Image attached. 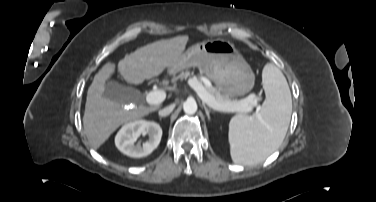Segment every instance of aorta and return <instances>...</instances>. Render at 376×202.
<instances>
[{
	"label": "aorta",
	"mask_w": 376,
	"mask_h": 202,
	"mask_svg": "<svg viewBox=\"0 0 376 202\" xmlns=\"http://www.w3.org/2000/svg\"><path fill=\"white\" fill-rule=\"evenodd\" d=\"M197 109L198 106L194 99H188L183 104V110L186 114H194Z\"/></svg>",
	"instance_id": "762f6f07"
}]
</instances>
